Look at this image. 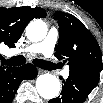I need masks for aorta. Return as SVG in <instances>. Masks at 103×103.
<instances>
[{"mask_svg": "<svg viewBox=\"0 0 103 103\" xmlns=\"http://www.w3.org/2000/svg\"><path fill=\"white\" fill-rule=\"evenodd\" d=\"M46 34L47 25L41 20L31 21L26 27V36L30 41H41ZM36 89L42 98L54 99L59 95L60 81L52 74H42L36 80Z\"/></svg>", "mask_w": 103, "mask_h": 103, "instance_id": "aorta-1", "label": "aorta"}]
</instances>
